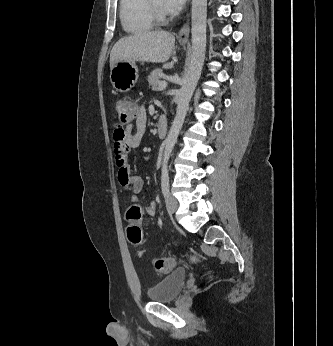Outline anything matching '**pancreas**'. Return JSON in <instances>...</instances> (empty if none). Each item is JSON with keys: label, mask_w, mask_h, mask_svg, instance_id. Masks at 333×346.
Masks as SVG:
<instances>
[{"label": "pancreas", "mask_w": 333, "mask_h": 346, "mask_svg": "<svg viewBox=\"0 0 333 346\" xmlns=\"http://www.w3.org/2000/svg\"><path fill=\"white\" fill-rule=\"evenodd\" d=\"M163 76L162 69H155L148 75V83L153 90H157L160 84V78Z\"/></svg>", "instance_id": "1"}]
</instances>
